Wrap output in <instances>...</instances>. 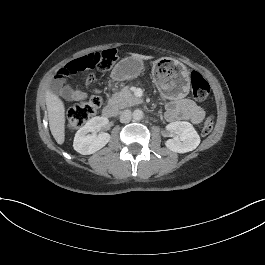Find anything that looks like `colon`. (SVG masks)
<instances>
[{
    "label": "colon",
    "instance_id": "1",
    "mask_svg": "<svg viewBox=\"0 0 265 265\" xmlns=\"http://www.w3.org/2000/svg\"><path fill=\"white\" fill-rule=\"evenodd\" d=\"M116 61V51L113 49L105 50L99 53H91L75 59L64 67L60 68L56 73L57 79H65L68 76L86 69H95L100 72L109 70ZM190 82L192 94L198 101L205 100L210 94L209 83L197 71L190 73ZM102 105V99L97 91H94L87 100L75 104L68 112V127L77 129L84 125L92 118ZM215 125L213 116L207 117L202 127L203 135L212 132Z\"/></svg>",
    "mask_w": 265,
    "mask_h": 265
}]
</instances>
